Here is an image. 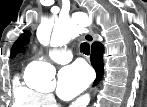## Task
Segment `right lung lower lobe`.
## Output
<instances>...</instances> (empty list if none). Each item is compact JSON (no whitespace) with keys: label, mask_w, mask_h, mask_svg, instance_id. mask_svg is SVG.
<instances>
[{"label":"right lung lower lobe","mask_w":147,"mask_h":107,"mask_svg":"<svg viewBox=\"0 0 147 107\" xmlns=\"http://www.w3.org/2000/svg\"><path fill=\"white\" fill-rule=\"evenodd\" d=\"M103 52L104 47L99 42H94L92 44V51H91V64L96 71L97 78L94 82V85H97L98 82L101 80L104 70H103Z\"/></svg>","instance_id":"right-lung-lower-lobe-1"}]
</instances>
